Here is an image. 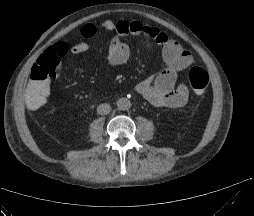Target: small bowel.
Returning a JSON list of instances; mask_svg holds the SVG:
<instances>
[{"label": "small bowel", "mask_w": 254, "mask_h": 216, "mask_svg": "<svg viewBox=\"0 0 254 216\" xmlns=\"http://www.w3.org/2000/svg\"><path fill=\"white\" fill-rule=\"evenodd\" d=\"M103 29L115 33L109 42L108 49V61L113 66L123 65L129 59L130 47L123 39L125 36L144 35L162 46V56L166 64L164 70L158 76L147 77L136 86V91L144 99L154 106L168 108H179L188 102V88L183 82L178 81V73L193 62L192 54L188 49L159 28L143 24L138 20L117 22L108 20L104 22ZM80 33L86 39L94 38L97 34V27L92 23L84 24ZM61 44L64 45L63 57L86 53L91 49L87 42H81L71 47L64 42H59L48 49L61 53L57 48ZM50 93L51 88L48 98Z\"/></svg>", "instance_id": "c3829d8e"}]
</instances>
